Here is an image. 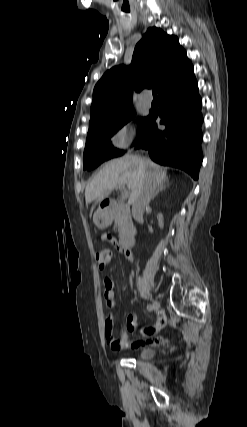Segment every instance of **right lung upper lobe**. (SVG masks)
Masks as SVG:
<instances>
[{"mask_svg": "<svg viewBox=\"0 0 247 427\" xmlns=\"http://www.w3.org/2000/svg\"><path fill=\"white\" fill-rule=\"evenodd\" d=\"M192 67L177 37L149 28L137 43L129 67L108 70L95 85L89 129L115 119L133 107V88H156L160 94Z\"/></svg>", "mask_w": 247, "mask_h": 427, "instance_id": "cb5924a9", "label": "right lung upper lobe"}]
</instances>
